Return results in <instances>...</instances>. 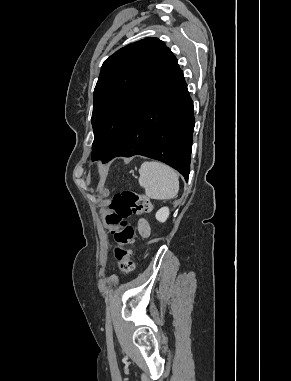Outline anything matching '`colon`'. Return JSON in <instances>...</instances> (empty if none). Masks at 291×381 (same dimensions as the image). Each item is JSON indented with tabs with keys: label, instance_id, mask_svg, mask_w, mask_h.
<instances>
[{
	"label": "colon",
	"instance_id": "1",
	"mask_svg": "<svg viewBox=\"0 0 291 381\" xmlns=\"http://www.w3.org/2000/svg\"><path fill=\"white\" fill-rule=\"evenodd\" d=\"M152 209L149 198L133 190L117 193L111 202V213L106 216V224L111 229L116 248L115 257L119 269L129 273L134 269L131 246L135 243L136 232L127 219L135 214L149 213Z\"/></svg>",
	"mask_w": 291,
	"mask_h": 381
}]
</instances>
